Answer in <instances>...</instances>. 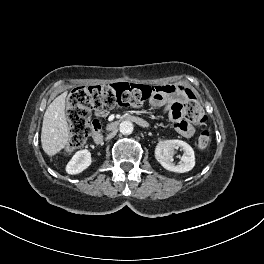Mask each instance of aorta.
I'll return each instance as SVG.
<instances>
[{
  "label": "aorta",
  "mask_w": 264,
  "mask_h": 264,
  "mask_svg": "<svg viewBox=\"0 0 264 264\" xmlns=\"http://www.w3.org/2000/svg\"><path fill=\"white\" fill-rule=\"evenodd\" d=\"M133 129V124L130 121H123L120 123L119 130L123 135H130Z\"/></svg>",
  "instance_id": "1"
}]
</instances>
